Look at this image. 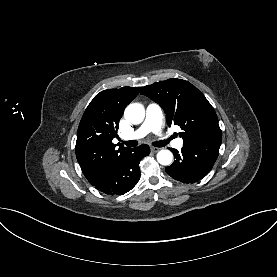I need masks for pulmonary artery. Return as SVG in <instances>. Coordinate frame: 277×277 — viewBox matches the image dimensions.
<instances>
[{"mask_svg": "<svg viewBox=\"0 0 277 277\" xmlns=\"http://www.w3.org/2000/svg\"><path fill=\"white\" fill-rule=\"evenodd\" d=\"M162 123V111L159 105L152 103L149 104L146 109V118L142 125L127 139H139L146 136L149 132H158L161 129ZM167 142L177 149H181L183 146V139H172L170 137H164Z\"/></svg>", "mask_w": 277, "mask_h": 277, "instance_id": "obj_1", "label": "pulmonary artery"}]
</instances>
